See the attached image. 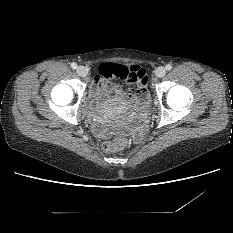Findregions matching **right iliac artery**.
Returning a JSON list of instances; mask_svg holds the SVG:
<instances>
[{
    "mask_svg": "<svg viewBox=\"0 0 233 233\" xmlns=\"http://www.w3.org/2000/svg\"><path fill=\"white\" fill-rule=\"evenodd\" d=\"M71 68L76 69L77 68V64L75 62L71 63Z\"/></svg>",
    "mask_w": 233,
    "mask_h": 233,
    "instance_id": "obj_1",
    "label": "right iliac artery"
}]
</instances>
